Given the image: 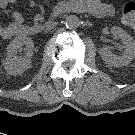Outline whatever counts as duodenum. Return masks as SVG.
Wrapping results in <instances>:
<instances>
[{
    "instance_id": "obj_1",
    "label": "duodenum",
    "mask_w": 135,
    "mask_h": 135,
    "mask_svg": "<svg viewBox=\"0 0 135 135\" xmlns=\"http://www.w3.org/2000/svg\"><path fill=\"white\" fill-rule=\"evenodd\" d=\"M24 31L25 32H28V29H24ZM31 32H33V29H31ZM42 32V28L41 27H39V28H37L36 30H35V34H40Z\"/></svg>"
}]
</instances>
